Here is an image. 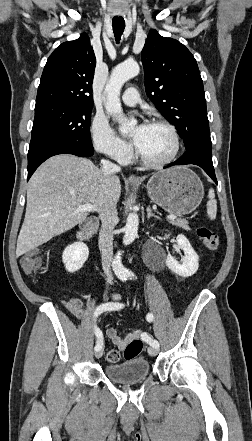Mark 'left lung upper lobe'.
<instances>
[{"label": "left lung upper lobe", "mask_w": 252, "mask_h": 441, "mask_svg": "<svg viewBox=\"0 0 252 441\" xmlns=\"http://www.w3.org/2000/svg\"><path fill=\"white\" fill-rule=\"evenodd\" d=\"M141 58L146 94L175 125L186 150L212 147L203 82L191 52L179 41L152 29Z\"/></svg>", "instance_id": "5c2ea615"}]
</instances>
